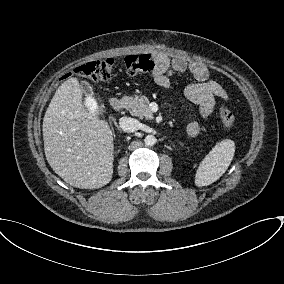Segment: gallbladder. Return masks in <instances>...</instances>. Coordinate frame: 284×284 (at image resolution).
<instances>
[{
	"label": "gallbladder",
	"mask_w": 284,
	"mask_h": 284,
	"mask_svg": "<svg viewBox=\"0 0 284 284\" xmlns=\"http://www.w3.org/2000/svg\"><path fill=\"white\" fill-rule=\"evenodd\" d=\"M83 88H84L86 93H88L90 95L93 94L92 88H91V86L88 83L83 84Z\"/></svg>",
	"instance_id": "bac80fb5"
}]
</instances>
